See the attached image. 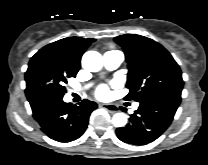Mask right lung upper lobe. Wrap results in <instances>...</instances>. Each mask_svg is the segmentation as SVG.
<instances>
[{"instance_id": "1", "label": "right lung upper lobe", "mask_w": 208, "mask_h": 165, "mask_svg": "<svg viewBox=\"0 0 208 165\" xmlns=\"http://www.w3.org/2000/svg\"><path fill=\"white\" fill-rule=\"evenodd\" d=\"M95 39L68 37L53 42L41 50H48L58 54L66 63L80 69L81 56Z\"/></svg>"}]
</instances>
